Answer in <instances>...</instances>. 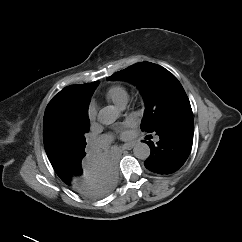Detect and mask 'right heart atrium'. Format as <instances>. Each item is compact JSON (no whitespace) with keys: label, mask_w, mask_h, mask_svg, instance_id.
Here are the masks:
<instances>
[{"label":"right heart atrium","mask_w":242,"mask_h":242,"mask_svg":"<svg viewBox=\"0 0 242 242\" xmlns=\"http://www.w3.org/2000/svg\"><path fill=\"white\" fill-rule=\"evenodd\" d=\"M96 108L93 104H90L87 108V116L89 118V120L93 121L96 118Z\"/></svg>","instance_id":"obj_1"}]
</instances>
